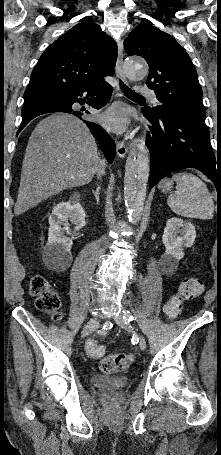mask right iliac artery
Instances as JSON below:
<instances>
[{
    "instance_id": "obj_1",
    "label": "right iliac artery",
    "mask_w": 221,
    "mask_h": 455,
    "mask_svg": "<svg viewBox=\"0 0 221 455\" xmlns=\"http://www.w3.org/2000/svg\"><path fill=\"white\" fill-rule=\"evenodd\" d=\"M100 336L101 337H107L108 336V333L107 332H103V331H100Z\"/></svg>"
}]
</instances>
